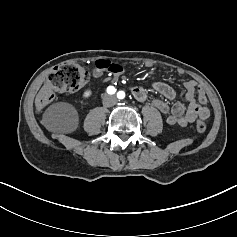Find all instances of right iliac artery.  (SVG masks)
I'll return each mask as SVG.
<instances>
[{"label":"right iliac artery","instance_id":"right-iliac-artery-1","mask_svg":"<svg viewBox=\"0 0 237 237\" xmlns=\"http://www.w3.org/2000/svg\"><path fill=\"white\" fill-rule=\"evenodd\" d=\"M107 92H108L109 94H114V93L116 92V89H115L114 86H109V87L107 88Z\"/></svg>","mask_w":237,"mask_h":237}]
</instances>
